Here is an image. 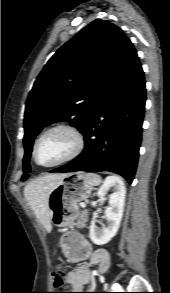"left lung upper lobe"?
Wrapping results in <instances>:
<instances>
[{"mask_svg": "<svg viewBox=\"0 0 170 293\" xmlns=\"http://www.w3.org/2000/svg\"><path fill=\"white\" fill-rule=\"evenodd\" d=\"M116 25L96 19L65 43L37 77L26 102L22 181L36 135L43 127L68 121L82 132L111 80L133 50Z\"/></svg>", "mask_w": 170, "mask_h": 293, "instance_id": "5c2ea615", "label": "left lung upper lobe"}]
</instances>
